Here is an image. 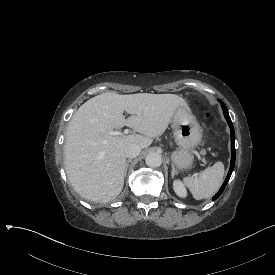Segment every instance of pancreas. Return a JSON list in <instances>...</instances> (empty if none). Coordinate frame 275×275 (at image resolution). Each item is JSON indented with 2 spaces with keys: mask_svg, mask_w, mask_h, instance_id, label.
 Instances as JSON below:
<instances>
[{
  "mask_svg": "<svg viewBox=\"0 0 275 275\" xmlns=\"http://www.w3.org/2000/svg\"><path fill=\"white\" fill-rule=\"evenodd\" d=\"M169 145L171 148H173V142L171 140L169 141Z\"/></svg>",
  "mask_w": 275,
  "mask_h": 275,
  "instance_id": "1",
  "label": "pancreas"
}]
</instances>
